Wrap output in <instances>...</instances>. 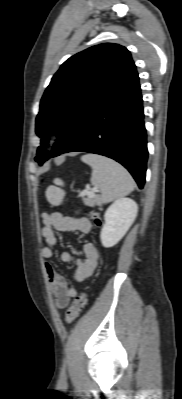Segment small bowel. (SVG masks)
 <instances>
[{"mask_svg": "<svg viewBox=\"0 0 182 399\" xmlns=\"http://www.w3.org/2000/svg\"><path fill=\"white\" fill-rule=\"evenodd\" d=\"M42 220L44 225L41 229V236L46 241L47 246L42 248L41 255L44 259L48 288L56 306L64 308L69 304L70 299L76 295V289L67 283L66 279L51 263L54 258L53 248L59 244L55 233L80 232L87 234L91 231L92 224L86 218L68 216L59 211L44 213ZM83 252L84 259H79L68 251L62 252L60 256L62 262L76 265L74 279L78 282L87 280L93 274L99 259L98 249L92 243H86L83 246Z\"/></svg>", "mask_w": 182, "mask_h": 399, "instance_id": "obj_1", "label": "small bowel"}]
</instances>
